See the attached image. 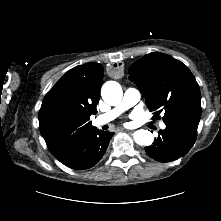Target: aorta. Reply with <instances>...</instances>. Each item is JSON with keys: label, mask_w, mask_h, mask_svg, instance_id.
<instances>
[{"label": "aorta", "mask_w": 221, "mask_h": 221, "mask_svg": "<svg viewBox=\"0 0 221 221\" xmlns=\"http://www.w3.org/2000/svg\"><path fill=\"white\" fill-rule=\"evenodd\" d=\"M103 100L112 106L118 105L123 96L122 88L119 83L115 81L106 82L101 89ZM134 141L141 146H149L154 141L153 134L148 130H137L133 134Z\"/></svg>", "instance_id": "762f6f07"}]
</instances>
